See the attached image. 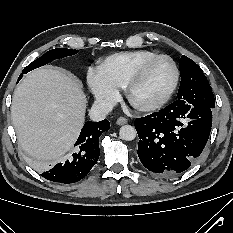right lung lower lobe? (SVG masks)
I'll return each instance as SVG.
<instances>
[{"instance_id": "1", "label": "right lung lower lobe", "mask_w": 233, "mask_h": 233, "mask_svg": "<svg viewBox=\"0 0 233 233\" xmlns=\"http://www.w3.org/2000/svg\"><path fill=\"white\" fill-rule=\"evenodd\" d=\"M20 78L18 79V81ZM108 120L101 122L88 121L84 124L73 152L63 163H58L41 176L47 180L70 184L83 179L96 164L99 155V137L109 130Z\"/></svg>"}]
</instances>
